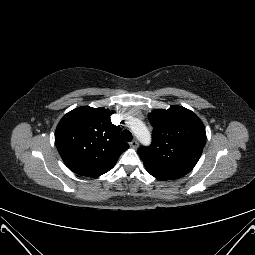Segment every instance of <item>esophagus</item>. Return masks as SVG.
<instances>
[{
    "label": "esophagus",
    "mask_w": 255,
    "mask_h": 255,
    "mask_svg": "<svg viewBox=\"0 0 255 255\" xmlns=\"http://www.w3.org/2000/svg\"><path fill=\"white\" fill-rule=\"evenodd\" d=\"M130 147L133 149H136L138 147V141L137 140H133L129 143Z\"/></svg>",
    "instance_id": "obj_1"
}]
</instances>
